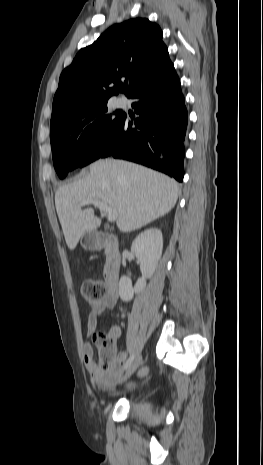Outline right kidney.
I'll return each instance as SVG.
<instances>
[{"label":"right kidney","mask_w":263,"mask_h":465,"mask_svg":"<svg viewBox=\"0 0 263 465\" xmlns=\"http://www.w3.org/2000/svg\"><path fill=\"white\" fill-rule=\"evenodd\" d=\"M163 250L161 230L148 229L140 233L132 243L131 252L140 263L142 277L132 286L131 279L122 276L119 281V295L123 301L132 300L134 293L141 292L146 286V280L151 278L157 268Z\"/></svg>","instance_id":"right-kidney-1"}]
</instances>
